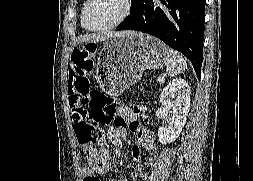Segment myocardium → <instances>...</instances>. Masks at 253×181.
<instances>
[{
	"mask_svg": "<svg viewBox=\"0 0 253 181\" xmlns=\"http://www.w3.org/2000/svg\"><path fill=\"white\" fill-rule=\"evenodd\" d=\"M91 1L92 0L85 1L84 5L82 7V10H81V16H80L81 25L83 26L84 29H86L90 32L106 31V30H109V29L119 26L129 17V15L132 12V8H133V0H123V3H124L123 11L113 22H111L103 27H100V28H90L85 23V12H86L88 5L91 3Z\"/></svg>",
	"mask_w": 253,
	"mask_h": 181,
	"instance_id": "myocardium-1",
	"label": "myocardium"
}]
</instances>
